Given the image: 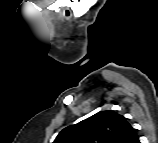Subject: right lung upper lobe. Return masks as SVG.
Here are the masks:
<instances>
[{
	"label": "right lung upper lobe",
	"mask_w": 158,
	"mask_h": 143,
	"mask_svg": "<svg viewBox=\"0 0 158 143\" xmlns=\"http://www.w3.org/2000/svg\"><path fill=\"white\" fill-rule=\"evenodd\" d=\"M53 143H139L126 118L105 110L63 129Z\"/></svg>",
	"instance_id": "cb5924a9"
}]
</instances>
